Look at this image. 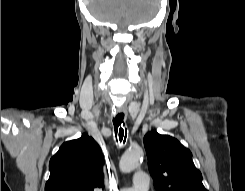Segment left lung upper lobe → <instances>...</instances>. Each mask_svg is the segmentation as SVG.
<instances>
[{"mask_svg":"<svg viewBox=\"0 0 245 191\" xmlns=\"http://www.w3.org/2000/svg\"><path fill=\"white\" fill-rule=\"evenodd\" d=\"M144 146L157 191H207L191 151L176 138L151 131L144 136Z\"/></svg>","mask_w":245,"mask_h":191,"instance_id":"5c2ea615","label":"left lung upper lobe"}]
</instances>
